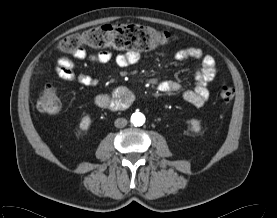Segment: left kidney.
<instances>
[{
  "label": "left kidney",
  "mask_w": 277,
  "mask_h": 218,
  "mask_svg": "<svg viewBox=\"0 0 277 218\" xmlns=\"http://www.w3.org/2000/svg\"><path fill=\"white\" fill-rule=\"evenodd\" d=\"M190 123H191V130L192 131L198 132L200 130V126H199V121L198 120L192 119L190 121Z\"/></svg>",
  "instance_id": "left-kidney-1"
}]
</instances>
